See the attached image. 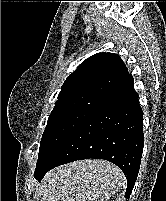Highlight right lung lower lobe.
<instances>
[{
  "label": "right lung lower lobe",
  "instance_id": "98d812e1",
  "mask_svg": "<svg viewBox=\"0 0 166 201\" xmlns=\"http://www.w3.org/2000/svg\"><path fill=\"white\" fill-rule=\"evenodd\" d=\"M129 74L81 125L56 149L47 163L35 172L41 180L50 169L81 159L108 160L117 165L127 179L129 198L141 163L144 146L143 111Z\"/></svg>",
  "mask_w": 166,
  "mask_h": 201
}]
</instances>
